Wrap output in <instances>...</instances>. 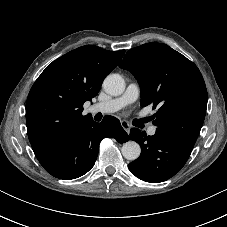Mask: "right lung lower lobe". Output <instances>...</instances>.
<instances>
[{"label": "right lung lower lobe", "instance_id": "right-lung-lower-lobe-1", "mask_svg": "<svg viewBox=\"0 0 227 227\" xmlns=\"http://www.w3.org/2000/svg\"><path fill=\"white\" fill-rule=\"evenodd\" d=\"M128 138L120 121L113 116H105L101 123L92 119L80 129L65 138L43 160L39 161L52 176L70 180L87 173L95 164L99 144L103 138Z\"/></svg>", "mask_w": 227, "mask_h": 227}]
</instances>
